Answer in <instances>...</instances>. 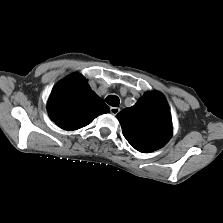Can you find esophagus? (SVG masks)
Listing matches in <instances>:
<instances>
[{
	"label": "esophagus",
	"mask_w": 223,
	"mask_h": 223,
	"mask_svg": "<svg viewBox=\"0 0 223 223\" xmlns=\"http://www.w3.org/2000/svg\"><path fill=\"white\" fill-rule=\"evenodd\" d=\"M120 112V108L118 107H110V113L112 115H117Z\"/></svg>",
	"instance_id": "1"
}]
</instances>
